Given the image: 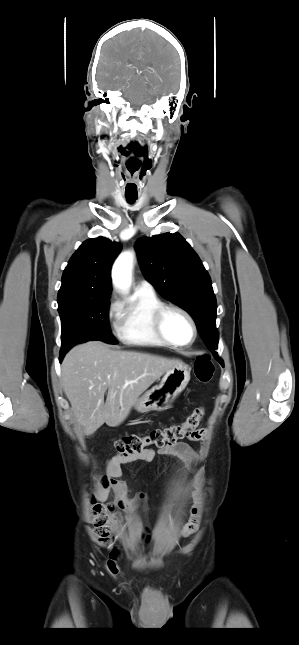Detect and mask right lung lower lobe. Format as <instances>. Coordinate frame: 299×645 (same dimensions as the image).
I'll return each mask as SVG.
<instances>
[{
    "label": "right lung lower lobe",
    "mask_w": 299,
    "mask_h": 645,
    "mask_svg": "<svg viewBox=\"0 0 299 645\" xmlns=\"http://www.w3.org/2000/svg\"><path fill=\"white\" fill-rule=\"evenodd\" d=\"M64 356H65V355H60V362L62 361V359H63V357H64Z\"/></svg>",
    "instance_id": "right-lung-lower-lobe-1"
}]
</instances>
